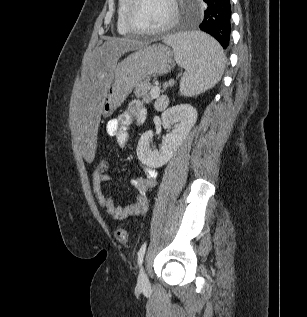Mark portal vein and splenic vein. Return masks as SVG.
<instances>
[{"mask_svg": "<svg viewBox=\"0 0 307 317\" xmlns=\"http://www.w3.org/2000/svg\"><path fill=\"white\" fill-rule=\"evenodd\" d=\"M150 94L154 99H157L160 95V88L158 86H154L150 90Z\"/></svg>", "mask_w": 307, "mask_h": 317, "instance_id": "portal-vein-and-splenic-vein-1", "label": "portal vein and splenic vein"}]
</instances>
